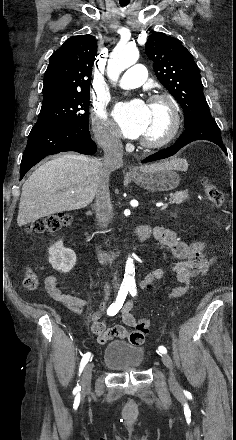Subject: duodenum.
<instances>
[{"label":"duodenum","mask_w":236,"mask_h":440,"mask_svg":"<svg viewBox=\"0 0 236 440\" xmlns=\"http://www.w3.org/2000/svg\"><path fill=\"white\" fill-rule=\"evenodd\" d=\"M152 233H153L152 227H150L148 225H142V226L137 227L133 231L132 238L137 242H141V241L151 237ZM94 251H95V254L101 264L111 263V261L116 256L115 253H110V252L105 251L102 248V246L99 244L94 245Z\"/></svg>","instance_id":"duodenum-1"}]
</instances>
